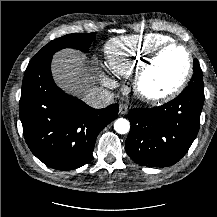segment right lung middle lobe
<instances>
[{
    "label": "right lung middle lobe",
    "instance_id": "1",
    "mask_svg": "<svg viewBox=\"0 0 217 217\" xmlns=\"http://www.w3.org/2000/svg\"><path fill=\"white\" fill-rule=\"evenodd\" d=\"M95 39V33H75L54 39L44 46L29 62V66L41 62L63 48H76L87 52L92 41Z\"/></svg>",
    "mask_w": 217,
    "mask_h": 217
}]
</instances>
